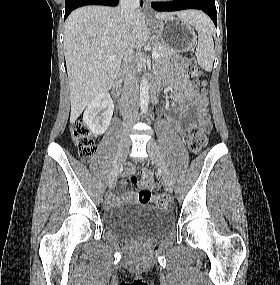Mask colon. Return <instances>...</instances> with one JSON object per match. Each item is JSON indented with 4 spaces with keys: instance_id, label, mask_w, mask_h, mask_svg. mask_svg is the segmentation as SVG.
Here are the masks:
<instances>
[{
    "instance_id": "colon-1",
    "label": "colon",
    "mask_w": 280,
    "mask_h": 285,
    "mask_svg": "<svg viewBox=\"0 0 280 285\" xmlns=\"http://www.w3.org/2000/svg\"><path fill=\"white\" fill-rule=\"evenodd\" d=\"M185 66L194 80L199 86L205 85L203 73L197 66L195 59L187 58L185 60ZM210 130L208 123H194L189 128L188 132V145L193 152H199L207 144V135ZM71 137L78 154L84 160H88L96 150L95 136L88 129L85 123L77 121L71 126ZM130 181L135 183L137 181L135 176L129 177ZM141 183L145 187L153 185V177L149 171H143L141 173ZM153 202L158 205H164L168 202V197L165 194H157L152 198Z\"/></svg>"
}]
</instances>
